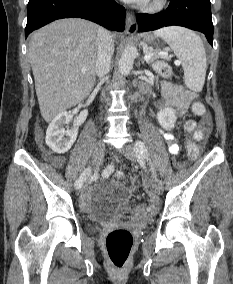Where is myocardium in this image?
<instances>
[{
    "label": "myocardium",
    "instance_id": "myocardium-1",
    "mask_svg": "<svg viewBox=\"0 0 233 284\" xmlns=\"http://www.w3.org/2000/svg\"><path fill=\"white\" fill-rule=\"evenodd\" d=\"M167 0H148L143 5V10L146 12H156L161 10L166 5Z\"/></svg>",
    "mask_w": 233,
    "mask_h": 284
}]
</instances>
